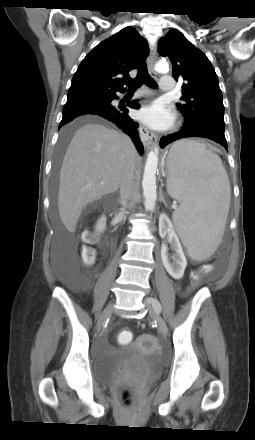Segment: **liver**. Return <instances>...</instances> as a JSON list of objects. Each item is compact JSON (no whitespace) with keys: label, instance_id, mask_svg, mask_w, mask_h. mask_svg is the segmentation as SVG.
Instances as JSON below:
<instances>
[{"label":"liver","instance_id":"1","mask_svg":"<svg viewBox=\"0 0 255 440\" xmlns=\"http://www.w3.org/2000/svg\"><path fill=\"white\" fill-rule=\"evenodd\" d=\"M131 157L136 167L139 156L121 132L95 123L75 132L59 175V216L68 231H75L88 203L118 190Z\"/></svg>","mask_w":255,"mask_h":440}]
</instances>
